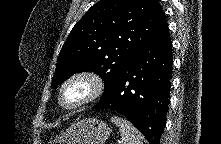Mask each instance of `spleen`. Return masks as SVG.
Wrapping results in <instances>:
<instances>
[{
  "mask_svg": "<svg viewBox=\"0 0 221 144\" xmlns=\"http://www.w3.org/2000/svg\"><path fill=\"white\" fill-rule=\"evenodd\" d=\"M110 120L119 127L124 144H143V136L128 120L118 116H113Z\"/></svg>",
  "mask_w": 221,
  "mask_h": 144,
  "instance_id": "3e777b00",
  "label": "spleen"
}]
</instances>
